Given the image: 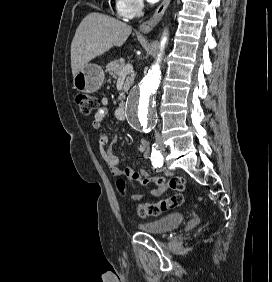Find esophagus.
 Returning <instances> with one entry per match:
<instances>
[{"label":"esophagus","mask_w":272,"mask_h":282,"mask_svg":"<svg viewBox=\"0 0 272 282\" xmlns=\"http://www.w3.org/2000/svg\"><path fill=\"white\" fill-rule=\"evenodd\" d=\"M170 1L171 0H162L160 5L157 7L156 11L154 12L153 16L149 20L143 22L140 25L141 32L149 33L159 23Z\"/></svg>","instance_id":"34e87169"}]
</instances>
